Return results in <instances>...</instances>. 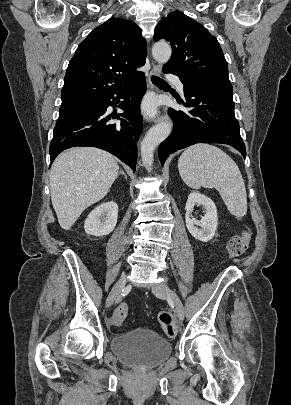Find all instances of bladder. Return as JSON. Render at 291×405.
I'll list each match as a JSON object with an SVG mask.
<instances>
[{
    "instance_id": "bladder-1",
    "label": "bladder",
    "mask_w": 291,
    "mask_h": 405,
    "mask_svg": "<svg viewBox=\"0 0 291 405\" xmlns=\"http://www.w3.org/2000/svg\"><path fill=\"white\" fill-rule=\"evenodd\" d=\"M111 350L127 365L153 368L169 358L172 344L151 329L136 328L115 336Z\"/></svg>"
}]
</instances>
